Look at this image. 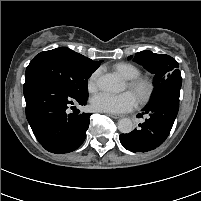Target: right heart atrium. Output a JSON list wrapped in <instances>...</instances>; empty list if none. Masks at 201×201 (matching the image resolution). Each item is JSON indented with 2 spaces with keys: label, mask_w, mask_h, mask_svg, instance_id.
Listing matches in <instances>:
<instances>
[{
  "label": "right heart atrium",
  "mask_w": 201,
  "mask_h": 201,
  "mask_svg": "<svg viewBox=\"0 0 201 201\" xmlns=\"http://www.w3.org/2000/svg\"><path fill=\"white\" fill-rule=\"evenodd\" d=\"M99 72L95 71L88 80V90L90 92H94L97 89V79H98Z\"/></svg>",
  "instance_id": "obj_1"
}]
</instances>
